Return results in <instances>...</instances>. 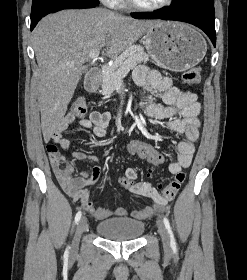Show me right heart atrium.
Here are the masks:
<instances>
[{
  "label": "right heart atrium",
  "instance_id": "1",
  "mask_svg": "<svg viewBox=\"0 0 247 280\" xmlns=\"http://www.w3.org/2000/svg\"><path fill=\"white\" fill-rule=\"evenodd\" d=\"M104 4L109 6H116L121 0H101Z\"/></svg>",
  "mask_w": 247,
  "mask_h": 280
}]
</instances>
